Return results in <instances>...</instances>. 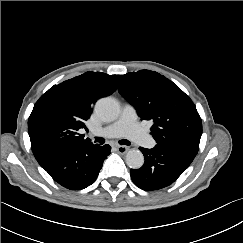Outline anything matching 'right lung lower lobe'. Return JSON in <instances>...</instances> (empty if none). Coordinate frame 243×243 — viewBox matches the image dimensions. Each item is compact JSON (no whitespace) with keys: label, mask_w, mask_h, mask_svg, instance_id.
<instances>
[{"label":"right lung lower lobe","mask_w":243,"mask_h":243,"mask_svg":"<svg viewBox=\"0 0 243 243\" xmlns=\"http://www.w3.org/2000/svg\"><path fill=\"white\" fill-rule=\"evenodd\" d=\"M111 147L94 145L48 146L34 153L40 166L61 186L80 190L97 178Z\"/></svg>","instance_id":"98d812e1"}]
</instances>
